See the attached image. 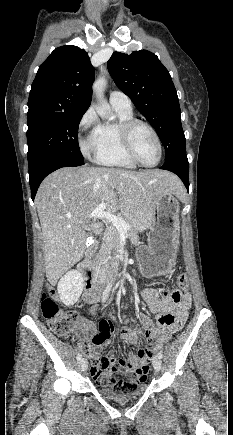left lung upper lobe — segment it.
Masks as SVG:
<instances>
[{"instance_id":"left-lung-upper-lobe-1","label":"left lung upper lobe","mask_w":233,"mask_h":435,"mask_svg":"<svg viewBox=\"0 0 233 435\" xmlns=\"http://www.w3.org/2000/svg\"><path fill=\"white\" fill-rule=\"evenodd\" d=\"M107 66L115 84L158 133L165 161L186 152L177 92L158 57L147 50L114 52Z\"/></svg>"}]
</instances>
